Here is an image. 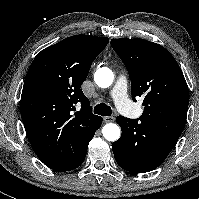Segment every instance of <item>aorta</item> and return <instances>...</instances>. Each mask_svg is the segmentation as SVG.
<instances>
[{
  "mask_svg": "<svg viewBox=\"0 0 199 199\" xmlns=\"http://www.w3.org/2000/svg\"><path fill=\"white\" fill-rule=\"evenodd\" d=\"M95 83L101 88L109 87L113 80L114 74L112 70L107 67L99 68L94 75ZM103 136L108 141H116L120 138V127L114 123L106 124L102 129Z\"/></svg>",
  "mask_w": 199,
  "mask_h": 199,
  "instance_id": "aorta-1",
  "label": "aorta"
}]
</instances>
